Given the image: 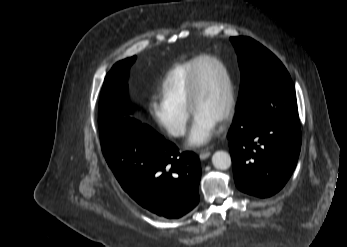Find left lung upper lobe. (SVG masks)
<instances>
[{
    "mask_svg": "<svg viewBox=\"0 0 347 247\" xmlns=\"http://www.w3.org/2000/svg\"><path fill=\"white\" fill-rule=\"evenodd\" d=\"M236 49L241 83L236 110H242L263 88L291 80L281 61L267 48L249 37L230 38Z\"/></svg>",
    "mask_w": 347,
    "mask_h": 247,
    "instance_id": "left-lung-upper-lobe-1",
    "label": "left lung upper lobe"
}]
</instances>
